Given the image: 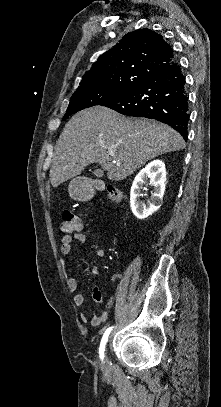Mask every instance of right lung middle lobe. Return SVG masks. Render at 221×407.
Masks as SVG:
<instances>
[{
	"mask_svg": "<svg viewBox=\"0 0 221 407\" xmlns=\"http://www.w3.org/2000/svg\"><path fill=\"white\" fill-rule=\"evenodd\" d=\"M135 86L97 85L77 90L71 97L67 112L63 119L82 109L103 105L126 94Z\"/></svg>",
	"mask_w": 221,
	"mask_h": 407,
	"instance_id": "1",
	"label": "right lung middle lobe"
}]
</instances>
